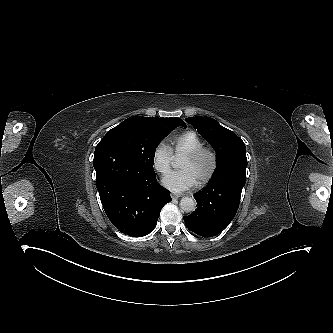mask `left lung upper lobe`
I'll use <instances>...</instances> for the list:
<instances>
[{
  "instance_id": "1",
  "label": "left lung upper lobe",
  "mask_w": 333,
  "mask_h": 333,
  "mask_svg": "<svg viewBox=\"0 0 333 333\" xmlns=\"http://www.w3.org/2000/svg\"><path fill=\"white\" fill-rule=\"evenodd\" d=\"M185 120L215 148L218 165L212 180L222 178L224 182L230 183L245 176L246 148L241 138L210 117L198 116Z\"/></svg>"
}]
</instances>
